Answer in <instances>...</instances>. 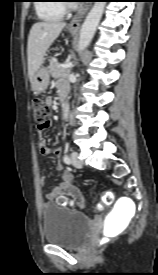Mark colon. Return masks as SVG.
Listing matches in <instances>:
<instances>
[{"instance_id":"5ec220e1","label":"colon","mask_w":158,"mask_h":275,"mask_svg":"<svg viewBox=\"0 0 158 275\" xmlns=\"http://www.w3.org/2000/svg\"><path fill=\"white\" fill-rule=\"evenodd\" d=\"M32 106L34 111V118L38 123V129L44 130L48 128V114H49V101L44 98H34L32 100ZM103 205L108 206L113 203L114 195L112 191H105L103 193ZM59 204H65V197H59ZM105 241V237L98 240L97 244L101 245Z\"/></svg>"}]
</instances>
